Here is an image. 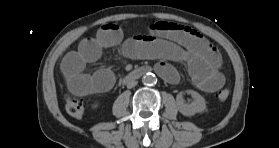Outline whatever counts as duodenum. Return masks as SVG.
<instances>
[{
    "label": "duodenum",
    "instance_id": "obj_1",
    "mask_svg": "<svg viewBox=\"0 0 279 148\" xmlns=\"http://www.w3.org/2000/svg\"><path fill=\"white\" fill-rule=\"evenodd\" d=\"M151 71V68L148 66L139 67L133 71H131L127 76L125 77V81H132L137 80L141 78L142 76L146 75L148 72Z\"/></svg>",
    "mask_w": 279,
    "mask_h": 148
}]
</instances>
